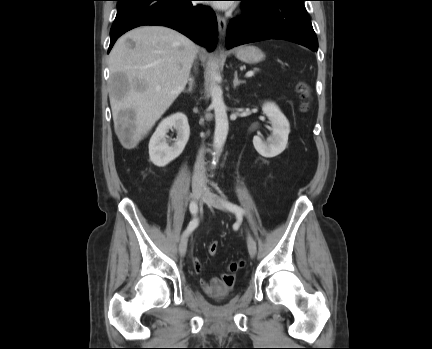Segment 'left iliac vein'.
<instances>
[{"label": "left iliac vein", "mask_w": 432, "mask_h": 349, "mask_svg": "<svg viewBox=\"0 0 432 349\" xmlns=\"http://www.w3.org/2000/svg\"><path fill=\"white\" fill-rule=\"evenodd\" d=\"M201 199L215 208L226 210L224 199L216 194L211 193L208 190L204 191ZM247 246L250 256L254 257L257 252V245L255 239L250 233H247Z\"/></svg>", "instance_id": "left-iliac-vein-1"}]
</instances>
